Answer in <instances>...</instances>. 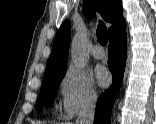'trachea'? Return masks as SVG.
<instances>
[{"label":"trachea","instance_id":"trachea-1","mask_svg":"<svg viewBox=\"0 0 156 124\" xmlns=\"http://www.w3.org/2000/svg\"><path fill=\"white\" fill-rule=\"evenodd\" d=\"M97 40L101 45H106L108 42V31L103 22H100L97 28Z\"/></svg>","mask_w":156,"mask_h":124}]
</instances>
